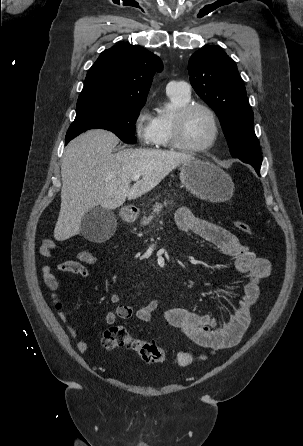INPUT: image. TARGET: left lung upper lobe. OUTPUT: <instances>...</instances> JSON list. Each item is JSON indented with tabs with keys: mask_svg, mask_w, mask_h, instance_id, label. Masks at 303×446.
Segmentation results:
<instances>
[{
	"mask_svg": "<svg viewBox=\"0 0 303 446\" xmlns=\"http://www.w3.org/2000/svg\"><path fill=\"white\" fill-rule=\"evenodd\" d=\"M188 70L194 90L217 114L232 157L260 169L254 114L236 63L221 48L208 46L191 56Z\"/></svg>",
	"mask_w": 303,
	"mask_h": 446,
	"instance_id": "1",
	"label": "left lung upper lobe"
}]
</instances>
